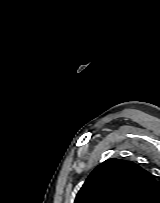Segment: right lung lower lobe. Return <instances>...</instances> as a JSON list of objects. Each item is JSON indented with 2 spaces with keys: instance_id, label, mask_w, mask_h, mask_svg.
Segmentation results:
<instances>
[{
  "instance_id": "right-lung-lower-lobe-1",
  "label": "right lung lower lobe",
  "mask_w": 160,
  "mask_h": 203,
  "mask_svg": "<svg viewBox=\"0 0 160 203\" xmlns=\"http://www.w3.org/2000/svg\"><path fill=\"white\" fill-rule=\"evenodd\" d=\"M153 203H160V194L158 195V197L156 198V201Z\"/></svg>"
}]
</instances>
